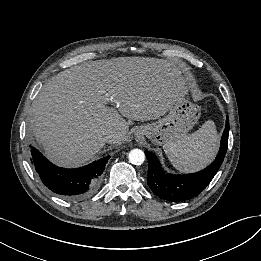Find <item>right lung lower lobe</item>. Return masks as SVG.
Returning <instances> with one entry per match:
<instances>
[{
	"label": "right lung lower lobe",
	"instance_id": "98d812e1",
	"mask_svg": "<svg viewBox=\"0 0 261 261\" xmlns=\"http://www.w3.org/2000/svg\"><path fill=\"white\" fill-rule=\"evenodd\" d=\"M31 161L43 184L67 200L83 199L98 187L100 176L110 158L106 156L87 166L65 169L53 165L37 149H31Z\"/></svg>",
	"mask_w": 261,
	"mask_h": 261
}]
</instances>
